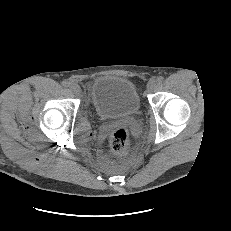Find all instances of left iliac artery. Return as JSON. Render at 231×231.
<instances>
[{
    "instance_id": "44dca946",
    "label": "left iliac artery",
    "mask_w": 231,
    "mask_h": 231,
    "mask_svg": "<svg viewBox=\"0 0 231 231\" xmlns=\"http://www.w3.org/2000/svg\"><path fill=\"white\" fill-rule=\"evenodd\" d=\"M163 80H164V78H163L162 76H159V77H157V79H156V81H157L158 83H162Z\"/></svg>"
}]
</instances>
